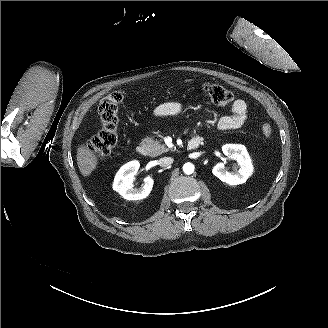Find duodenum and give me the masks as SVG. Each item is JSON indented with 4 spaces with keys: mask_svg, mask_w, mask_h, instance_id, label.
<instances>
[{
    "mask_svg": "<svg viewBox=\"0 0 328 328\" xmlns=\"http://www.w3.org/2000/svg\"><path fill=\"white\" fill-rule=\"evenodd\" d=\"M203 142V138L200 136L193 137L189 140L187 144L188 150H195L197 149ZM136 152L141 156H146L148 154V147L141 143L136 147Z\"/></svg>",
    "mask_w": 328,
    "mask_h": 328,
    "instance_id": "1",
    "label": "duodenum"
}]
</instances>
